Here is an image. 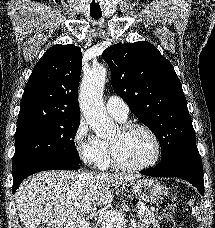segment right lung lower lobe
Instances as JSON below:
<instances>
[{
    "label": "right lung lower lobe",
    "instance_id": "right-lung-lower-lobe-1",
    "mask_svg": "<svg viewBox=\"0 0 215 228\" xmlns=\"http://www.w3.org/2000/svg\"><path fill=\"white\" fill-rule=\"evenodd\" d=\"M80 168L79 163L60 161L53 159H41L26 162L13 168V187L15 193L20 183L29 175L45 170H77Z\"/></svg>",
    "mask_w": 215,
    "mask_h": 228
}]
</instances>
